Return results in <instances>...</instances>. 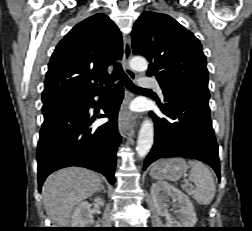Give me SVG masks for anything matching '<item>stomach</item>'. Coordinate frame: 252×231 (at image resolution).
<instances>
[{
    "label": "stomach",
    "instance_id": "0dacf381",
    "mask_svg": "<svg viewBox=\"0 0 252 231\" xmlns=\"http://www.w3.org/2000/svg\"><path fill=\"white\" fill-rule=\"evenodd\" d=\"M188 170V165L182 158L161 160L153 165L150 171L152 178L157 180L180 179Z\"/></svg>",
    "mask_w": 252,
    "mask_h": 231
}]
</instances>
